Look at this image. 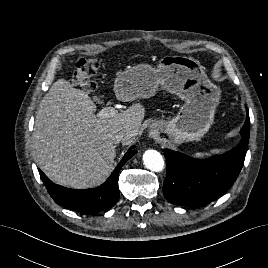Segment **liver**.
Here are the masks:
<instances>
[{"instance_id": "obj_1", "label": "liver", "mask_w": 268, "mask_h": 268, "mask_svg": "<svg viewBox=\"0 0 268 268\" xmlns=\"http://www.w3.org/2000/svg\"><path fill=\"white\" fill-rule=\"evenodd\" d=\"M87 93L59 79L40 101L33 130V157L53 182L74 189L102 184L116 157L107 134L113 130L138 134L145 108L137 103L113 117L101 118Z\"/></svg>"}]
</instances>
